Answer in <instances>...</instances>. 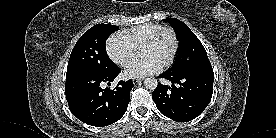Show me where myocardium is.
<instances>
[{"mask_svg": "<svg viewBox=\"0 0 276 138\" xmlns=\"http://www.w3.org/2000/svg\"><path fill=\"white\" fill-rule=\"evenodd\" d=\"M165 33H168L171 36L173 41V48L167 60L162 64L164 68L169 67L173 63L179 49V38L176 31L172 27L163 26L161 29L155 32L142 46L147 47L157 44L162 35Z\"/></svg>", "mask_w": 276, "mask_h": 138, "instance_id": "1", "label": "myocardium"}]
</instances>
